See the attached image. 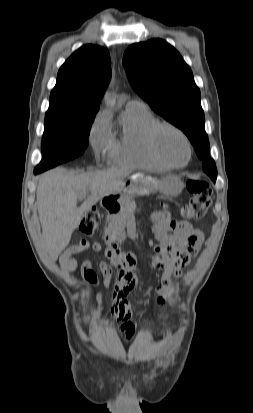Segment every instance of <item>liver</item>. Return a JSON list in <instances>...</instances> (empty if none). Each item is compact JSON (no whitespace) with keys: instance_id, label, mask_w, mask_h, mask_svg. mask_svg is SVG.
I'll return each mask as SVG.
<instances>
[{"instance_id":"1","label":"liver","mask_w":253,"mask_h":413,"mask_svg":"<svg viewBox=\"0 0 253 413\" xmlns=\"http://www.w3.org/2000/svg\"><path fill=\"white\" fill-rule=\"evenodd\" d=\"M128 172L108 170L76 173L55 168L43 174L37 186V207L42 227L43 246L52 260L67 247L71 235L80 225L84 212L123 185ZM88 193L80 207L77 200Z\"/></svg>"}]
</instances>
